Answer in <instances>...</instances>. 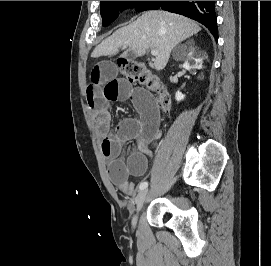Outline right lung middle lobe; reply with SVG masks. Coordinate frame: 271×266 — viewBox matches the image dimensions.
<instances>
[{
    "instance_id": "dd1d6c3e",
    "label": "right lung middle lobe",
    "mask_w": 271,
    "mask_h": 266,
    "mask_svg": "<svg viewBox=\"0 0 271 266\" xmlns=\"http://www.w3.org/2000/svg\"><path fill=\"white\" fill-rule=\"evenodd\" d=\"M156 1H101L100 10L103 26L111 23L126 7L136 8L139 11L148 10Z\"/></svg>"
}]
</instances>
